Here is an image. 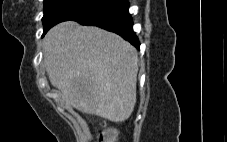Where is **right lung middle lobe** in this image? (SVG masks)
Instances as JSON below:
<instances>
[{"label": "right lung middle lobe", "instance_id": "obj_1", "mask_svg": "<svg viewBox=\"0 0 227 142\" xmlns=\"http://www.w3.org/2000/svg\"><path fill=\"white\" fill-rule=\"evenodd\" d=\"M113 0H45L44 32L55 24L71 20L109 5Z\"/></svg>", "mask_w": 227, "mask_h": 142}]
</instances>
